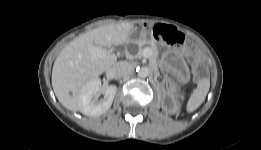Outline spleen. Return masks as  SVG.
I'll use <instances>...</instances> for the list:
<instances>
[{
	"label": "spleen",
	"mask_w": 261,
	"mask_h": 150,
	"mask_svg": "<svg viewBox=\"0 0 261 150\" xmlns=\"http://www.w3.org/2000/svg\"><path fill=\"white\" fill-rule=\"evenodd\" d=\"M210 88V80L209 79H202L199 81L197 85V89L193 91L191 94L186 110L187 112L191 113L195 111L205 100L206 95Z\"/></svg>",
	"instance_id": "3e777b00"
}]
</instances>
